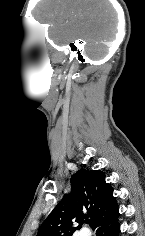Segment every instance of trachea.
<instances>
[{
  "mask_svg": "<svg viewBox=\"0 0 145 236\" xmlns=\"http://www.w3.org/2000/svg\"><path fill=\"white\" fill-rule=\"evenodd\" d=\"M89 222H90V220H89V219H87V220H86V223H89Z\"/></svg>",
  "mask_w": 145,
  "mask_h": 236,
  "instance_id": "3493384b",
  "label": "trachea"
}]
</instances>
